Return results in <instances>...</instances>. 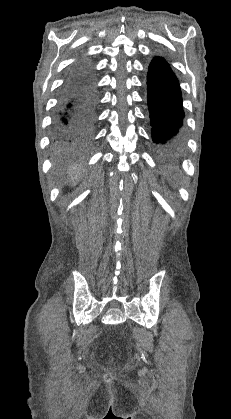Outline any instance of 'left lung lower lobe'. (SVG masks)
Segmentation results:
<instances>
[{
    "mask_svg": "<svg viewBox=\"0 0 231 419\" xmlns=\"http://www.w3.org/2000/svg\"><path fill=\"white\" fill-rule=\"evenodd\" d=\"M147 88L152 139L163 158L176 159L184 142V111L179 82L164 58L151 61Z\"/></svg>",
    "mask_w": 231,
    "mask_h": 419,
    "instance_id": "1",
    "label": "left lung lower lobe"
}]
</instances>
